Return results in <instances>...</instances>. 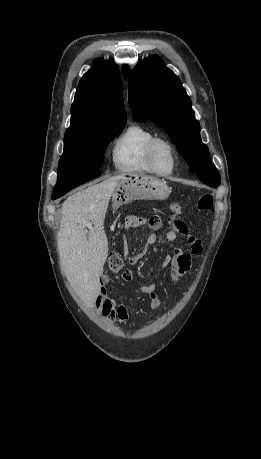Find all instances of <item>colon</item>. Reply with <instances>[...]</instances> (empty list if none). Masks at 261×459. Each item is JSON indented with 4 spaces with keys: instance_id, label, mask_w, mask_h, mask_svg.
Here are the masks:
<instances>
[{
    "instance_id": "1",
    "label": "colon",
    "mask_w": 261,
    "mask_h": 459,
    "mask_svg": "<svg viewBox=\"0 0 261 459\" xmlns=\"http://www.w3.org/2000/svg\"><path fill=\"white\" fill-rule=\"evenodd\" d=\"M213 196L209 193L201 195L197 201L196 207L201 212H212L213 211ZM173 216H179L182 212V207L178 203H173L170 206ZM181 226H184V222H178ZM147 224L151 229L157 230L162 227V221L157 216H151L147 220ZM123 267L122 254L120 252H115L111 254L108 258V269L113 272H119Z\"/></svg>"
}]
</instances>
